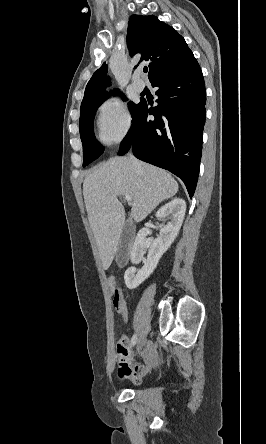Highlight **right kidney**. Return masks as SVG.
Masks as SVG:
<instances>
[{"label":"right kidney","mask_w":266,"mask_h":444,"mask_svg":"<svg viewBox=\"0 0 266 444\" xmlns=\"http://www.w3.org/2000/svg\"><path fill=\"white\" fill-rule=\"evenodd\" d=\"M186 203L183 199L175 198L162 206L156 213V217H168L170 221L161 227L160 233L153 241L144 266L139 271L135 267H130L125 271L124 280L127 288L135 289L145 281L155 270L162 255L174 242L184 220ZM150 233L149 229L142 228L135 239L131 249V262L138 264L142 261L146 247V237ZM137 272V274H135Z\"/></svg>","instance_id":"right-kidney-1"}]
</instances>
